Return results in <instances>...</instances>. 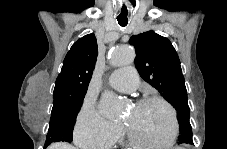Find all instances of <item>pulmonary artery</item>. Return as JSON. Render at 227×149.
<instances>
[{"label":"pulmonary artery","mask_w":227,"mask_h":149,"mask_svg":"<svg viewBox=\"0 0 227 149\" xmlns=\"http://www.w3.org/2000/svg\"><path fill=\"white\" fill-rule=\"evenodd\" d=\"M108 81L112 88L124 93L134 92L139 85V77L133 66H126L113 71Z\"/></svg>","instance_id":"e3ab8cb5"}]
</instances>
